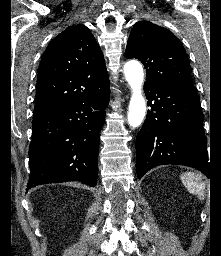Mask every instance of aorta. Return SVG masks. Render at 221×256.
<instances>
[{"instance_id": "obj_1", "label": "aorta", "mask_w": 221, "mask_h": 256, "mask_svg": "<svg viewBox=\"0 0 221 256\" xmlns=\"http://www.w3.org/2000/svg\"><path fill=\"white\" fill-rule=\"evenodd\" d=\"M124 75L131 88V99L128 107V123L138 127L146 115V103L142 94L144 72L138 61H129L124 65Z\"/></svg>"}]
</instances>
